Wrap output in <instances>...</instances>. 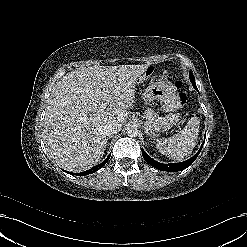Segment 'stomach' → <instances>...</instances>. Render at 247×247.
<instances>
[{
	"instance_id": "1",
	"label": "stomach",
	"mask_w": 247,
	"mask_h": 247,
	"mask_svg": "<svg viewBox=\"0 0 247 247\" xmlns=\"http://www.w3.org/2000/svg\"><path fill=\"white\" fill-rule=\"evenodd\" d=\"M140 80L143 77L139 78ZM143 97L146 101L157 100L161 104V109L165 112H175L180 108L178 93L176 88L168 81L152 82L144 91ZM164 129H150L149 134L153 137L159 135Z\"/></svg>"
}]
</instances>
